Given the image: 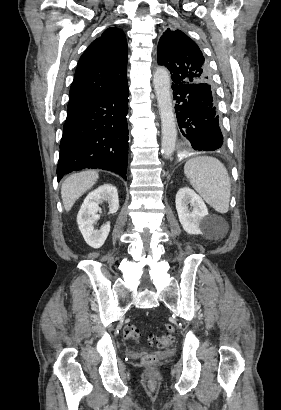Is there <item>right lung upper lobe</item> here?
I'll return each mask as SVG.
<instances>
[{"instance_id": "cb5924a9", "label": "right lung upper lobe", "mask_w": 281, "mask_h": 410, "mask_svg": "<svg viewBox=\"0 0 281 410\" xmlns=\"http://www.w3.org/2000/svg\"><path fill=\"white\" fill-rule=\"evenodd\" d=\"M126 36L108 28L82 54L70 88L68 109L127 85Z\"/></svg>"}]
</instances>
